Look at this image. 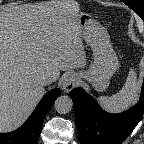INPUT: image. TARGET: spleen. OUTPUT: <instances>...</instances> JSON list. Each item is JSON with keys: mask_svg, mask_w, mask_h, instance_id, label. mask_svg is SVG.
I'll return each mask as SVG.
<instances>
[{"mask_svg": "<svg viewBox=\"0 0 144 144\" xmlns=\"http://www.w3.org/2000/svg\"><path fill=\"white\" fill-rule=\"evenodd\" d=\"M140 87L141 83L137 79L135 70L130 68L128 77L122 89L110 97H98V102L103 109L108 112H121L136 103L139 97Z\"/></svg>", "mask_w": 144, "mask_h": 144, "instance_id": "spleen-1", "label": "spleen"}]
</instances>
